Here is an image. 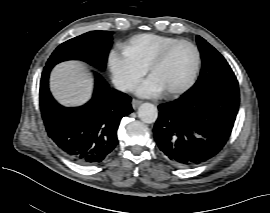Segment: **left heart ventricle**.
<instances>
[{
    "label": "left heart ventricle",
    "mask_w": 270,
    "mask_h": 213,
    "mask_svg": "<svg viewBox=\"0 0 270 213\" xmlns=\"http://www.w3.org/2000/svg\"><path fill=\"white\" fill-rule=\"evenodd\" d=\"M196 65V54L189 45L174 48L153 71L152 78L162 91L178 89L191 77Z\"/></svg>",
    "instance_id": "b2bd125f"
}]
</instances>
